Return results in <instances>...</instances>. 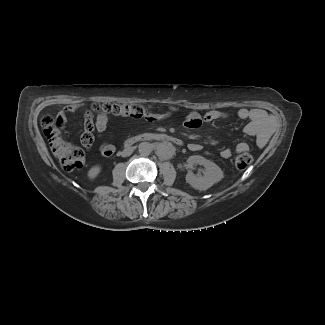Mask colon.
I'll return each instance as SVG.
<instances>
[{
    "instance_id": "1",
    "label": "colon",
    "mask_w": 325,
    "mask_h": 325,
    "mask_svg": "<svg viewBox=\"0 0 325 325\" xmlns=\"http://www.w3.org/2000/svg\"><path fill=\"white\" fill-rule=\"evenodd\" d=\"M92 110L97 114L107 117L140 118L149 114L146 107L138 104L95 103ZM44 133L48 138L53 154L60 162L62 168L71 171L83 166L85 162L84 151L73 144L68 143L58 132L52 117L45 116L42 119ZM253 162V157L248 152H241L235 159V166L240 169L248 168Z\"/></svg>"
}]
</instances>
